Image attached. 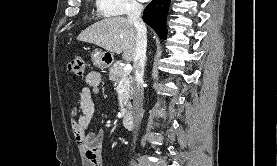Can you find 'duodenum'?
<instances>
[{
    "instance_id": "obj_1",
    "label": "duodenum",
    "mask_w": 277,
    "mask_h": 166,
    "mask_svg": "<svg viewBox=\"0 0 277 166\" xmlns=\"http://www.w3.org/2000/svg\"><path fill=\"white\" fill-rule=\"evenodd\" d=\"M123 126L127 130H132L134 128V117L132 113H126L123 117Z\"/></svg>"
}]
</instances>
